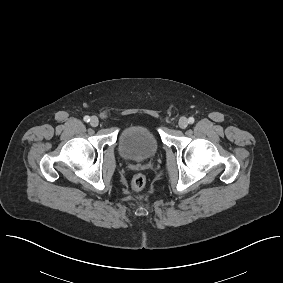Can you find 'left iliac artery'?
Listing matches in <instances>:
<instances>
[{
  "mask_svg": "<svg viewBox=\"0 0 283 283\" xmlns=\"http://www.w3.org/2000/svg\"><path fill=\"white\" fill-rule=\"evenodd\" d=\"M194 121H195V119H194L193 117H190V118L188 119V123H189V124H193Z\"/></svg>",
  "mask_w": 283,
  "mask_h": 283,
  "instance_id": "44dca946",
  "label": "left iliac artery"
}]
</instances>
